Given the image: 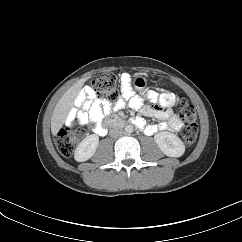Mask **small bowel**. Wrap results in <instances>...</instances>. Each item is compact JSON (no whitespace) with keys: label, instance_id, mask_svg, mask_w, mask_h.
I'll return each mask as SVG.
<instances>
[{"label":"small bowel","instance_id":"c3829d8e","mask_svg":"<svg viewBox=\"0 0 242 242\" xmlns=\"http://www.w3.org/2000/svg\"><path fill=\"white\" fill-rule=\"evenodd\" d=\"M121 82L122 93L114 106L104 100L96 98L93 90L84 89L76 99V105L80 110L73 109L67 117V123L70 124L75 118H78L84 124L90 122L93 132L102 135L104 130V117L127 105L146 117L165 121L159 125H153L146 124L142 118H136L134 120L135 125L143 129L146 134H154L158 130H180L182 122L171 109L176 102V97L173 93L148 91L145 94V98L155 105L147 106L143 104L142 98L133 92L126 75L121 76Z\"/></svg>","mask_w":242,"mask_h":242}]
</instances>
